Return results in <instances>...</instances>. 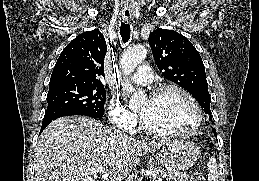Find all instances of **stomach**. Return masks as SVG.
<instances>
[{
	"label": "stomach",
	"instance_id": "stomach-1",
	"mask_svg": "<svg viewBox=\"0 0 259 181\" xmlns=\"http://www.w3.org/2000/svg\"><path fill=\"white\" fill-rule=\"evenodd\" d=\"M200 154L199 147L191 141H167L159 153V163L168 170L184 171L198 161Z\"/></svg>",
	"mask_w": 259,
	"mask_h": 181
}]
</instances>
